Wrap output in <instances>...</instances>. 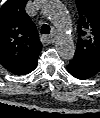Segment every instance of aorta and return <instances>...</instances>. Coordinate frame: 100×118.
I'll return each instance as SVG.
<instances>
[{"label":"aorta","instance_id":"1","mask_svg":"<svg viewBox=\"0 0 100 118\" xmlns=\"http://www.w3.org/2000/svg\"><path fill=\"white\" fill-rule=\"evenodd\" d=\"M43 12L58 31L55 46L59 56L66 60L72 59L75 54V45L70 17L65 7L59 0H45Z\"/></svg>","mask_w":100,"mask_h":118}]
</instances>
